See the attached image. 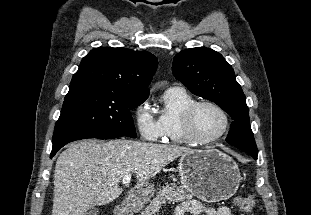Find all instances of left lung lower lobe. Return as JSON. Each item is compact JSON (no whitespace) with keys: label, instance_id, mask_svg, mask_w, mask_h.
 <instances>
[{"label":"left lung lower lobe","instance_id":"left-lung-lower-lobe-1","mask_svg":"<svg viewBox=\"0 0 311 215\" xmlns=\"http://www.w3.org/2000/svg\"><path fill=\"white\" fill-rule=\"evenodd\" d=\"M250 155V154H249ZM255 160H257V155H251Z\"/></svg>","mask_w":311,"mask_h":215}]
</instances>
